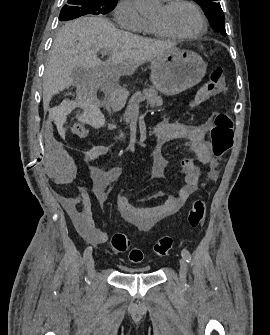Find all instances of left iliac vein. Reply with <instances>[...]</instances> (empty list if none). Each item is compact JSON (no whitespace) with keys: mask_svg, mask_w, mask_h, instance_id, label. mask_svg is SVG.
Returning a JSON list of instances; mask_svg holds the SVG:
<instances>
[{"mask_svg":"<svg viewBox=\"0 0 270 335\" xmlns=\"http://www.w3.org/2000/svg\"><path fill=\"white\" fill-rule=\"evenodd\" d=\"M179 263H180L179 276H180L181 281H185L187 269H188L186 260L184 258H181Z\"/></svg>","mask_w":270,"mask_h":335,"instance_id":"obj_1","label":"left iliac vein"}]
</instances>
